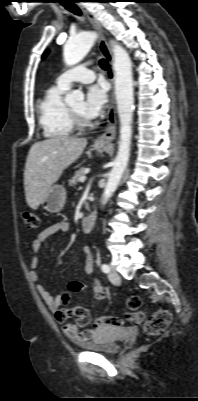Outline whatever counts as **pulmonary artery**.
Returning a JSON list of instances; mask_svg holds the SVG:
<instances>
[{"label": "pulmonary artery", "instance_id": "e3ab8cb5", "mask_svg": "<svg viewBox=\"0 0 198 401\" xmlns=\"http://www.w3.org/2000/svg\"><path fill=\"white\" fill-rule=\"evenodd\" d=\"M95 78V73L84 65L77 66L59 75L57 84L63 88H69L74 82L89 83Z\"/></svg>", "mask_w": 198, "mask_h": 401}]
</instances>
